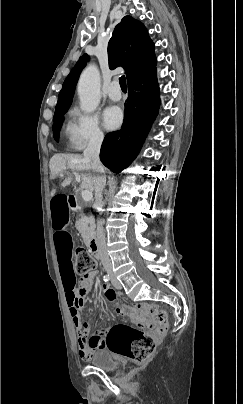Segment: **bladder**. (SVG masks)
<instances>
[{
	"mask_svg": "<svg viewBox=\"0 0 243 404\" xmlns=\"http://www.w3.org/2000/svg\"><path fill=\"white\" fill-rule=\"evenodd\" d=\"M91 364L103 371H114L118 368V361L108 349L97 350L91 357Z\"/></svg>",
	"mask_w": 243,
	"mask_h": 404,
	"instance_id": "1",
	"label": "bladder"
}]
</instances>
